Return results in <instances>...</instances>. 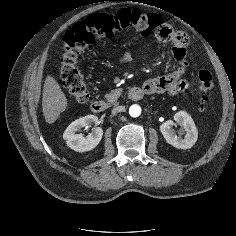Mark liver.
<instances>
[{"mask_svg": "<svg viewBox=\"0 0 236 236\" xmlns=\"http://www.w3.org/2000/svg\"><path fill=\"white\" fill-rule=\"evenodd\" d=\"M67 98L59 83L48 75L44 82L42 108L43 115L47 123H54L60 116V113L66 110Z\"/></svg>", "mask_w": 236, "mask_h": 236, "instance_id": "6515ba94", "label": "liver"}]
</instances>
